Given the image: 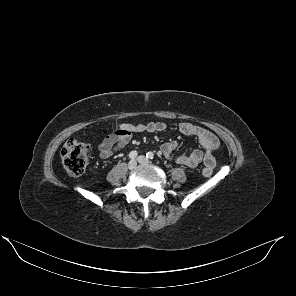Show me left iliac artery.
Segmentation results:
<instances>
[{
	"mask_svg": "<svg viewBox=\"0 0 296 296\" xmlns=\"http://www.w3.org/2000/svg\"><path fill=\"white\" fill-rule=\"evenodd\" d=\"M146 157H147L148 159H153V158H154V154H153V152H148V153L146 154Z\"/></svg>",
	"mask_w": 296,
	"mask_h": 296,
	"instance_id": "left-iliac-artery-1",
	"label": "left iliac artery"
}]
</instances>
